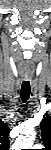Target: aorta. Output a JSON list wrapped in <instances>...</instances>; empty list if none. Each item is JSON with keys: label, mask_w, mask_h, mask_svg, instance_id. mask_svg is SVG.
<instances>
[{"label": "aorta", "mask_w": 51, "mask_h": 150, "mask_svg": "<svg viewBox=\"0 0 51 150\" xmlns=\"http://www.w3.org/2000/svg\"><path fill=\"white\" fill-rule=\"evenodd\" d=\"M35 138H36L35 130L29 129L18 136L13 145V149L14 150L30 149V147H32L34 144Z\"/></svg>", "instance_id": "1"}]
</instances>
